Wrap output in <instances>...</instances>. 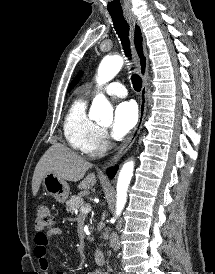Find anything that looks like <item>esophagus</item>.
I'll list each match as a JSON object with an SVG mask.
<instances>
[{"label":"esophagus","mask_w":215,"mask_h":274,"mask_svg":"<svg viewBox=\"0 0 215 274\" xmlns=\"http://www.w3.org/2000/svg\"><path fill=\"white\" fill-rule=\"evenodd\" d=\"M125 17L132 29L134 53L137 60L138 70L143 79V86L140 94L139 120L130 137L120 147V149L111 158V160L107 163V165H105L104 169H106L109 165L116 163L122 157V155L133 145L134 141L136 140L138 134L140 133L142 129L143 122L145 119V114H146L147 88H148V58H147L145 37L137 17L132 13H126Z\"/></svg>","instance_id":"esophagus-1"}]
</instances>
